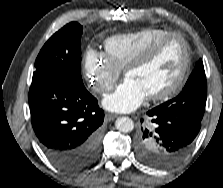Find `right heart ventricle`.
<instances>
[{
	"mask_svg": "<svg viewBox=\"0 0 223 188\" xmlns=\"http://www.w3.org/2000/svg\"><path fill=\"white\" fill-rule=\"evenodd\" d=\"M168 32L162 28L149 27L111 36L104 43L105 54L120 69L125 68L137 53Z\"/></svg>",
	"mask_w": 223,
	"mask_h": 188,
	"instance_id": "obj_1",
	"label": "right heart ventricle"
}]
</instances>
